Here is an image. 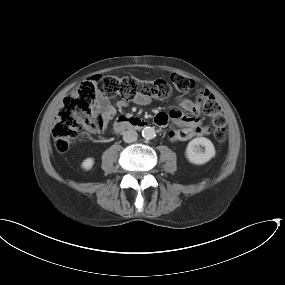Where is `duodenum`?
<instances>
[{
	"mask_svg": "<svg viewBox=\"0 0 285 285\" xmlns=\"http://www.w3.org/2000/svg\"><path fill=\"white\" fill-rule=\"evenodd\" d=\"M146 126L147 122L143 119L122 116L114 122L113 130L116 133H120L127 129L140 130Z\"/></svg>",
	"mask_w": 285,
	"mask_h": 285,
	"instance_id": "1",
	"label": "duodenum"
}]
</instances>
